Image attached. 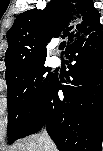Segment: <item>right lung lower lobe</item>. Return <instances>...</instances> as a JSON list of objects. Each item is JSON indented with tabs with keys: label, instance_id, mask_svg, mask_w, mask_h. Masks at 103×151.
Instances as JSON below:
<instances>
[{
	"label": "right lung lower lobe",
	"instance_id": "obj_1",
	"mask_svg": "<svg viewBox=\"0 0 103 151\" xmlns=\"http://www.w3.org/2000/svg\"><path fill=\"white\" fill-rule=\"evenodd\" d=\"M66 85L56 75L20 138L45 127L60 151H92L101 134L103 112V33L100 24L66 50ZM62 90L63 96L58 95Z\"/></svg>",
	"mask_w": 103,
	"mask_h": 151
}]
</instances>
